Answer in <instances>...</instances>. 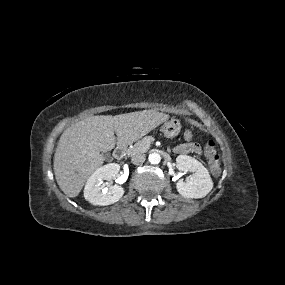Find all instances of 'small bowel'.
Instances as JSON below:
<instances>
[{
    "instance_id": "1",
    "label": "small bowel",
    "mask_w": 285,
    "mask_h": 285,
    "mask_svg": "<svg viewBox=\"0 0 285 285\" xmlns=\"http://www.w3.org/2000/svg\"><path fill=\"white\" fill-rule=\"evenodd\" d=\"M176 152L179 154L195 153V154L200 155L201 154V148H200L199 144H197L194 141H192L190 143L185 142L184 144L176 147Z\"/></svg>"
}]
</instances>
